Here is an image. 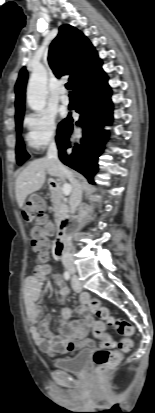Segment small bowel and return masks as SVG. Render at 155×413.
Instances as JSON below:
<instances>
[{"instance_id":"obj_1","label":"small bowel","mask_w":155,"mask_h":413,"mask_svg":"<svg viewBox=\"0 0 155 413\" xmlns=\"http://www.w3.org/2000/svg\"><path fill=\"white\" fill-rule=\"evenodd\" d=\"M49 252L42 262H47ZM48 272L44 265H37L34 268L32 275L25 279V310L27 320L30 325V333L34 343L40 351L50 355H72L77 351L89 348L93 345V341L87 337L89 329H93L95 337L101 339L98 330L103 334V337L108 340V345L113 344L112 337L105 332V323L102 321L93 320L87 311L86 304L90 301L88 293H82L78 298V305L75 308H64L60 312L62 326L58 334H52L50 324L51 316H45L43 310L38 305L42 295V289L47 278ZM56 284L60 286V295L65 298L69 294V289L57 279ZM78 312L80 317L68 321L70 316Z\"/></svg>"}]
</instances>
